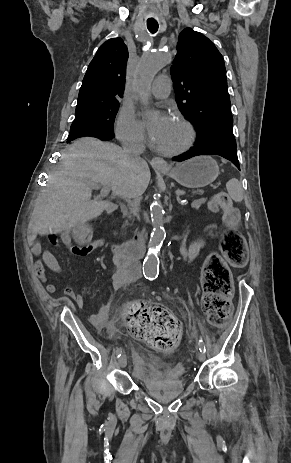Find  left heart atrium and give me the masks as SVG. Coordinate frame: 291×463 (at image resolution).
<instances>
[{
    "label": "left heart atrium",
    "instance_id": "left-heart-atrium-1",
    "mask_svg": "<svg viewBox=\"0 0 291 463\" xmlns=\"http://www.w3.org/2000/svg\"><path fill=\"white\" fill-rule=\"evenodd\" d=\"M174 118L168 113L154 112L148 115L147 129L150 140L159 146L174 125Z\"/></svg>",
    "mask_w": 291,
    "mask_h": 463
}]
</instances>
